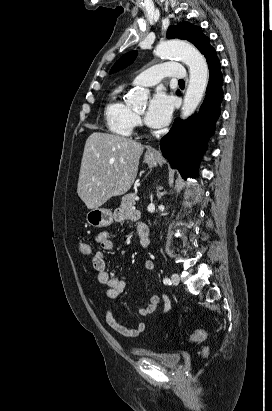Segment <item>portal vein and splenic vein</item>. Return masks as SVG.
Returning <instances> with one entry per match:
<instances>
[{
	"label": "portal vein and splenic vein",
	"instance_id": "obj_1",
	"mask_svg": "<svg viewBox=\"0 0 272 411\" xmlns=\"http://www.w3.org/2000/svg\"><path fill=\"white\" fill-rule=\"evenodd\" d=\"M135 200H136V201H138V200H139V197H138V196H136V197H135Z\"/></svg>",
	"mask_w": 272,
	"mask_h": 411
}]
</instances>
